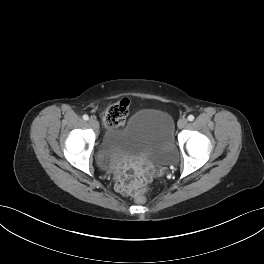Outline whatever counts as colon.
<instances>
[{
	"instance_id": "5ec220e1",
	"label": "colon",
	"mask_w": 264,
	"mask_h": 264,
	"mask_svg": "<svg viewBox=\"0 0 264 264\" xmlns=\"http://www.w3.org/2000/svg\"><path fill=\"white\" fill-rule=\"evenodd\" d=\"M129 113V101L122 99L111 104L101 115L102 122L107 127L120 126ZM119 191L124 195L134 197L138 203H145L148 186L139 173L130 171L119 177Z\"/></svg>"
}]
</instances>
